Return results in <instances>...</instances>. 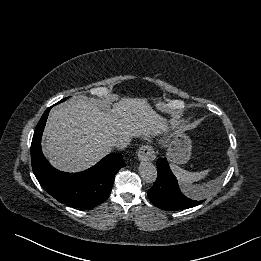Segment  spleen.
Returning a JSON list of instances; mask_svg holds the SVG:
<instances>
[{
	"instance_id": "3e777b00",
	"label": "spleen",
	"mask_w": 261,
	"mask_h": 261,
	"mask_svg": "<svg viewBox=\"0 0 261 261\" xmlns=\"http://www.w3.org/2000/svg\"><path fill=\"white\" fill-rule=\"evenodd\" d=\"M170 167L173 173L175 174L176 178L178 179V181L180 183H185V184L197 182L203 179L210 171L209 169H207L200 172H189L180 168L175 164H170Z\"/></svg>"
}]
</instances>
